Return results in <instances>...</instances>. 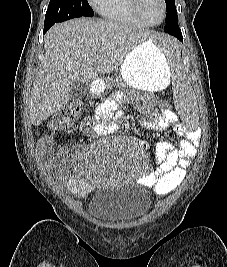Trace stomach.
I'll list each match as a JSON object with an SVG mask.
<instances>
[{"label": "stomach", "mask_w": 227, "mask_h": 267, "mask_svg": "<svg viewBox=\"0 0 227 267\" xmlns=\"http://www.w3.org/2000/svg\"><path fill=\"white\" fill-rule=\"evenodd\" d=\"M152 40H145L137 45L124 59L120 66V76L130 87L159 91L170 82V68L161 47H154ZM107 90V85H93L92 95Z\"/></svg>", "instance_id": "obj_1"}]
</instances>
